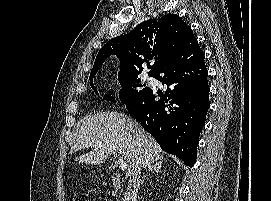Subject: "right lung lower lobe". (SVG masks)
<instances>
[{
    "instance_id": "98d812e1",
    "label": "right lung lower lobe",
    "mask_w": 271,
    "mask_h": 201,
    "mask_svg": "<svg viewBox=\"0 0 271 201\" xmlns=\"http://www.w3.org/2000/svg\"><path fill=\"white\" fill-rule=\"evenodd\" d=\"M207 74L197 40L187 37L153 75L167 85L164 95L157 92L163 99L156 100V93L150 89L126 103L129 113L161 149L176 155L189 167L196 162L200 131L210 107Z\"/></svg>"
}]
</instances>
